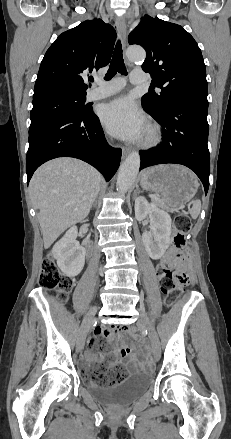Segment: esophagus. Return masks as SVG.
<instances>
[{"label": "esophagus", "instance_id": "obj_1", "mask_svg": "<svg viewBox=\"0 0 231 439\" xmlns=\"http://www.w3.org/2000/svg\"><path fill=\"white\" fill-rule=\"evenodd\" d=\"M115 25H116L117 31H118V33L120 35L123 48L125 49L126 48V43H127V28H126V24H125V22L123 21L122 18L118 17L115 20ZM126 64L129 67H131V64L128 61H126ZM129 152H130L129 148H126V147L122 148V155H123V157L128 155Z\"/></svg>", "mask_w": 231, "mask_h": 439}]
</instances>
